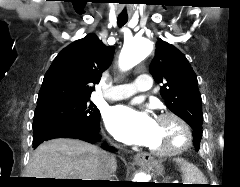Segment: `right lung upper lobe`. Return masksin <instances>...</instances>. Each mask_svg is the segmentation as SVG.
Instances as JSON below:
<instances>
[{
  "mask_svg": "<svg viewBox=\"0 0 240 187\" xmlns=\"http://www.w3.org/2000/svg\"><path fill=\"white\" fill-rule=\"evenodd\" d=\"M113 53V47H106L94 34L65 47L44 76L37 105L59 99L90 98L95 90L91 85L99 83Z\"/></svg>",
  "mask_w": 240,
  "mask_h": 187,
  "instance_id": "obj_1",
  "label": "right lung upper lobe"
}]
</instances>
